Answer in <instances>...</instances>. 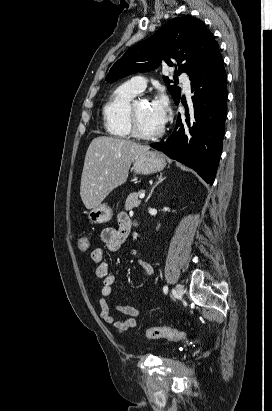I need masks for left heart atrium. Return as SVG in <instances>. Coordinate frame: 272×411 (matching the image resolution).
Returning <instances> with one entry per match:
<instances>
[{
	"label": "left heart atrium",
	"instance_id": "left-heart-atrium-1",
	"mask_svg": "<svg viewBox=\"0 0 272 411\" xmlns=\"http://www.w3.org/2000/svg\"><path fill=\"white\" fill-rule=\"evenodd\" d=\"M150 113L157 124L162 126L167 118V100L164 96H158L149 104Z\"/></svg>",
	"mask_w": 272,
	"mask_h": 411
}]
</instances>
